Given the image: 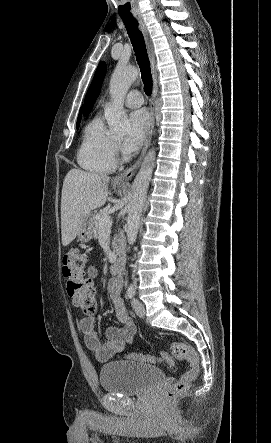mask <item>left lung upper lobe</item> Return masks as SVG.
Returning <instances> with one entry per match:
<instances>
[{
	"label": "left lung upper lobe",
	"mask_w": 271,
	"mask_h": 443,
	"mask_svg": "<svg viewBox=\"0 0 271 443\" xmlns=\"http://www.w3.org/2000/svg\"><path fill=\"white\" fill-rule=\"evenodd\" d=\"M106 74V64L105 62H102L99 64L96 73L94 75L93 81L91 83V86L89 87L85 101H84V115L87 116L92 110L93 104L95 103L96 99L98 98L101 86L104 80Z\"/></svg>",
	"instance_id": "obj_1"
}]
</instances>
